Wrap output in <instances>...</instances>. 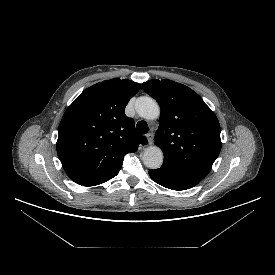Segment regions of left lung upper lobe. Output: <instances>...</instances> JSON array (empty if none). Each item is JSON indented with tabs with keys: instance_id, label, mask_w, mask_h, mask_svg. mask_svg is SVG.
Returning <instances> with one entry per match:
<instances>
[{
	"instance_id": "5c2ea615",
	"label": "left lung upper lobe",
	"mask_w": 275,
	"mask_h": 275,
	"mask_svg": "<svg viewBox=\"0 0 275 275\" xmlns=\"http://www.w3.org/2000/svg\"><path fill=\"white\" fill-rule=\"evenodd\" d=\"M144 90L161 106L155 144L163 164L202 179L221 150L220 124L214 112L189 87L171 80H149Z\"/></svg>"
}]
</instances>
